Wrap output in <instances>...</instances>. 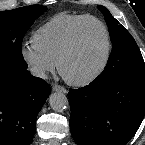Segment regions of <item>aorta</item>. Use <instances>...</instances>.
Segmentation results:
<instances>
[{"mask_svg":"<svg viewBox=\"0 0 145 145\" xmlns=\"http://www.w3.org/2000/svg\"><path fill=\"white\" fill-rule=\"evenodd\" d=\"M49 104L54 111L61 112L68 107L69 101L64 93L55 92L50 95Z\"/></svg>","mask_w":145,"mask_h":145,"instance_id":"obj_1","label":"aorta"}]
</instances>
